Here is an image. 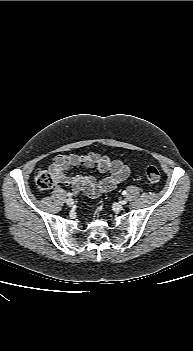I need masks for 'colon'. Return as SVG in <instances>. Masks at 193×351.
I'll list each match as a JSON object with an SVG mask.
<instances>
[{"instance_id":"colon-1","label":"colon","mask_w":193,"mask_h":351,"mask_svg":"<svg viewBox=\"0 0 193 351\" xmlns=\"http://www.w3.org/2000/svg\"><path fill=\"white\" fill-rule=\"evenodd\" d=\"M160 171L156 166H149L146 169V178L152 183L160 180ZM34 182L40 191H47L52 189L56 182L52 175L44 170H38L34 174Z\"/></svg>"}]
</instances>
